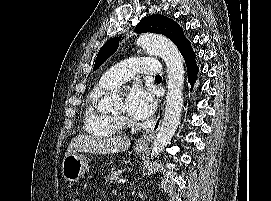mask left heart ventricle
I'll return each instance as SVG.
<instances>
[{
	"instance_id": "b2bd125f",
	"label": "left heart ventricle",
	"mask_w": 271,
	"mask_h": 201,
	"mask_svg": "<svg viewBox=\"0 0 271 201\" xmlns=\"http://www.w3.org/2000/svg\"><path fill=\"white\" fill-rule=\"evenodd\" d=\"M125 112V104L123 101H121L116 108V114H125Z\"/></svg>"
}]
</instances>
